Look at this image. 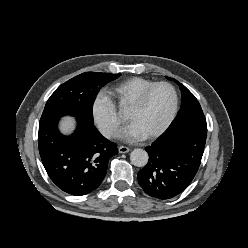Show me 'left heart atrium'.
Here are the masks:
<instances>
[{
    "label": "left heart atrium",
    "mask_w": 248,
    "mask_h": 248,
    "mask_svg": "<svg viewBox=\"0 0 248 248\" xmlns=\"http://www.w3.org/2000/svg\"><path fill=\"white\" fill-rule=\"evenodd\" d=\"M144 137L143 133L133 124H130L122 135V138L128 142L138 141Z\"/></svg>",
    "instance_id": "1"
}]
</instances>
